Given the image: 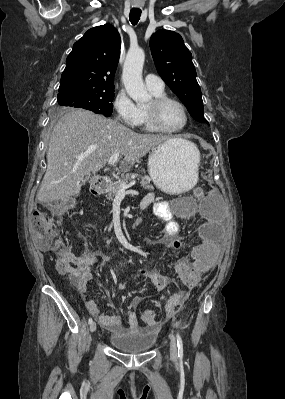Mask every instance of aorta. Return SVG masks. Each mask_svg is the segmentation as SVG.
Here are the masks:
<instances>
[{"label": "aorta", "instance_id": "1", "mask_svg": "<svg viewBox=\"0 0 285 399\" xmlns=\"http://www.w3.org/2000/svg\"><path fill=\"white\" fill-rule=\"evenodd\" d=\"M144 60L145 54L143 49H130L123 66L122 80L125 89L138 106L144 105L151 99L142 79Z\"/></svg>", "mask_w": 285, "mask_h": 399}]
</instances>
